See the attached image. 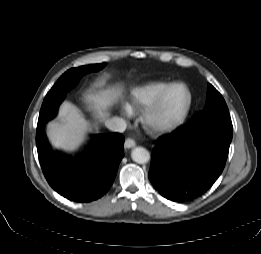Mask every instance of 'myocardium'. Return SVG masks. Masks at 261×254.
<instances>
[{
  "label": "myocardium",
  "instance_id": "obj_1",
  "mask_svg": "<svg viewBox=\"0 0 261 254\" xmlns=\"http://www.w3.org/2000/svg\"><path fill=\"white\" fill-rule=\"evenodd\" d=\"M182 87L188 94V101L184 108L174 117L165 119L162 115L163 103L169 92L176 88ZM193 103V95L190 88L182 82L170 84L155 101V103L147 108L142 116V123L145 130L154 135H162L175 130L185 119L189 113Z\"/></svg>",
  "mask_w": 261,
  "mask_h": 254
}]
</instances>
